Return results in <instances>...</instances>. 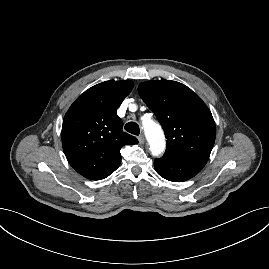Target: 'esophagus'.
Returning <instances> with one entry per match:
<instances>
[{"label": "esophagus", "mask_w": 269, "mask_h": 269, "mask_svg": "<svg viewBox=\"0 0 269 269\" xmlns=\"http://www.w3.org/2000/svg\"><path fill=\"white\" fill-rule=\"evenodd\" d=\"M138 140H139V143L140 144H144L145 143V137H144V135L143 134L139 135Z\"/></svg>", "instance_id": "1"}]
</instances>
